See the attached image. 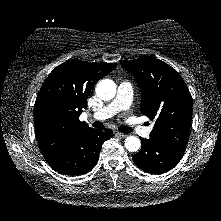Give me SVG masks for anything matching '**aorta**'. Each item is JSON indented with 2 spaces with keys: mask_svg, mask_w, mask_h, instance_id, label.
Segmentation results:
<instances>
[{
  "mask_svg": "<svg viewBox=\"0 0 221 221\" xmlns=\"http://www.w3.org/2000/svg\"><path fill=\"white\" fill-rule=\"evenodd\" d=\"M96 95L104 101L113 99L116 95V84L110 79L99 81L96 86ZM125 147L130 152L138 151L141 147L140 139L136 136H128L125 139Z\"/></svg>",
  "mask_w": 221,
  "mask_h": 221,
  "instance_id": "obj_1",
  "label": "aorta"
}]
</instances>
